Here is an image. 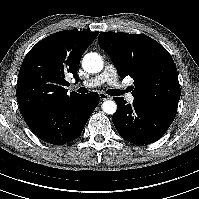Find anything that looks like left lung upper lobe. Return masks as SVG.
Wrapping results in <instances>:
<instances>
[{"mask_svg": "<svg viewBox=\"0 0 199 199\" xmlns=\"http://www.w3.org/2000/svg\"><path fill=\"white\" fill-rule=\"evenodd\" d=\"M99 45L108 53L119 75L134 79V98L176 111L180 86L169 52L152 38L137 34L102 32Z\"/></svg>", "mask_w": 199, "mask_h": 199, "instance_id": "1", "label": "left lung upper lobe"}]
</instances>
